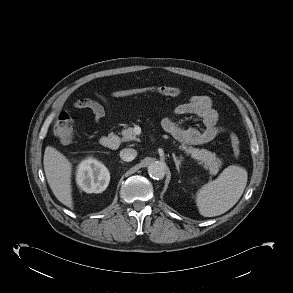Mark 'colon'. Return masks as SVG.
Returning <instances> with one entry per match:
<instances>
[{"instance_id":"1","label":"colon","mask_w":293,"mask_h":293,"mask_svg":"<svg viewBox=\"0 0 293 293\" xmlns=\"http://www.w3.org/2000/svg\"><path fill=\"white\" fill-rule=\"evenodd\" d=\"M147 93H156L163 96L174 97L181 93V90L173 86L141 87L114 91L112 94L117 97L136 96ZM55 137L64 144H68L74 137V122L71 116L65 112L60 113L54 125ZM229 139L233 154L236 158L240 156V140L237 134L229 132Z\"/></svg>"}]
</instances>
